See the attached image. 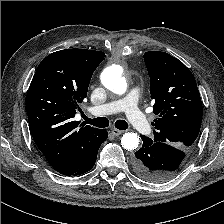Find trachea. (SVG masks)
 <instances>
[{
	"instance_id": "1",
	"label": "trachea",
	"mask_w": 224,
	"mask_h": 224,
	"mask_svg": "<svg viewBox=\"0 0 224 224\" xmlns=\"http://www.w3.org/2000/svg\"><path fill=\"white\" fill-rule=\"evenodd\" d=\"M85 124H91L96 127L105 128L109 126V120L106 117H98L94 119L88 118L86 115L82 114ZM115 127L120 130H126L128 128V123L125 120H117L115 122Z\"/></svg>"
}]
</instances>
